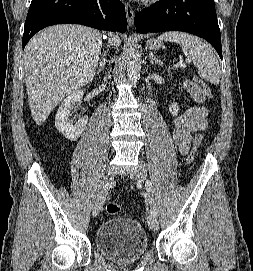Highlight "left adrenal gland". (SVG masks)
Listing matches in <instances>:
<instances>
[{
  "label": "left adrenal gland",
  "mask_w": 253,
  "mask_h": 271,
  "mask_svg": "<svg viewBox=\"0 0 253 271\" xmlns=\"http://www.w3.org/2000/svg\"><path fill=\"white\" fill-rule=\"evenodd\" d=\"M149 58L151 64H158L159 66L163 65V62L160 59H157L153 52L149 53Z\"/></svg>",
  "instance_id": "obj_1"
}]
</instances>
